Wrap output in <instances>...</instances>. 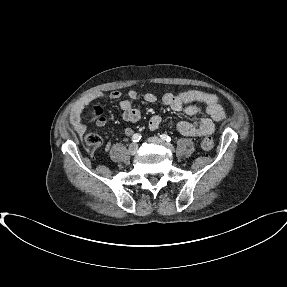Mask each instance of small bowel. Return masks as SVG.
<instances>
[{
	"label": "small bowel",
	"mask_w": 287,
	"mask_h": 287,
	"mask_svg": "<svg viewBox=\"0 0 287 287\" xmlns=\"http://www.w3.org/2000/svg\"><path fill=\"white\" fill-rule=\"evenodd\" d=\"M122 94L119 91H112L109 93L95 92L86 95L74 106L70 122L73 128L79 133L84 134L87 130V121L82 119V114L93 100L108 98L111 100H119ZM138 94L135 90L127 92V99L119 102V107L122 111V118L127 122H137L141 117L140 110L133 104ZM157 97L154 93H147L144 100L147 103H154ZM164 104L168 105L172 110L177 112H184L187 115L194 116L202 111L206 113L205 117L199 118L194 121H178L175 126L177 130L189 137L201 138L213 134L215 131L216 123L225 118V112L219 103L216 96L212 94L203 93L201 91H187L181 94L165 93L162 96ZM88 121H96L99 127L107 125L108 118L103 114L100 107L94 106L93 111ZM162 123V117L154 115L149 120V129L156 130ZM124 133L127 136L132 135L133 129L130 127L125 128ZM108 148L109 145H106Z\"/></svg>",
	"instance_id": "1"
}]
</instances>
